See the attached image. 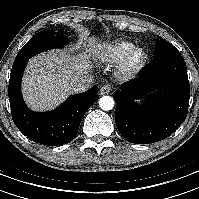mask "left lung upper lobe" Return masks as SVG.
I'll use <instances>...</instances> for the list:
<instances>
[{"label": "left lung upper lobe", "instance_id": "left-lung-upper-lobe-1", "mask_svg": "<svg viewBox=\"0 0 199 199\" xmlns=\"http://www.w3.org/2000/svg\"><path fill=\"white\" fill-rule=\"evenodd\" d=\"M175 53H179V51L173 45L165 41L162 37H157L154 50V58Z\"/></svg>", "mask_w": 199, "mask_h": 199}]
</instances>
